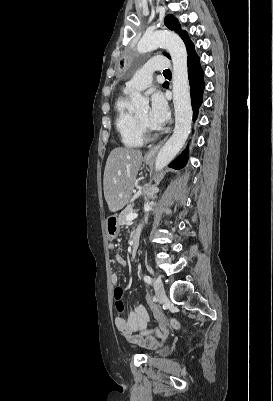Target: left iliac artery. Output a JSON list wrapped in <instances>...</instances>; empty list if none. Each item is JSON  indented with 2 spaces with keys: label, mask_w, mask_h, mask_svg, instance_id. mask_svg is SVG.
I'll return each instance as SVG.
<instances>
[{
  "label": "left iliac artery",
  "mask_w": 273,
  "mask_h": 401,
  "mask_svg": "<svg viewBox=\"0 0 273 401\" xmlns=\"http://www.w3.org/2000/svg\"><path fill=\"white\" fill-rule=\"evenodd\" d=\"M144 281H145L146 283H151V282H152V278H151L149 275H145V276H144Z\"/></svg>",
  "instance_id": "44dca946"
}]
</instances>
